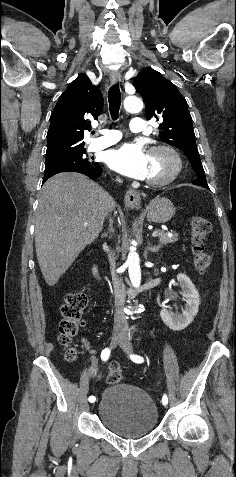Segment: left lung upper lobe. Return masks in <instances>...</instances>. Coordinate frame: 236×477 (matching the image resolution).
<instances>
[{
	"label": "left lung upper lobe",
	"instance_id": "5c2ea615",
	"mask_svg": "<svg viewBox=\"0 0 236 477\" xmlns=\"http://www.w3.org/2000/svg\"><path fill=\"white\" fill-rule=\"evenodd\" d=\"M137 92L146 102V118H157L160 138L182 150L188 157L198 178L193 184L208 187L205 172L196 147L192 118L185 98L176 86L158 71L146 68L134 78Z\"/></svg>",
	"mask_w": 236,
	"mask_h": 477
}]
</instances>
